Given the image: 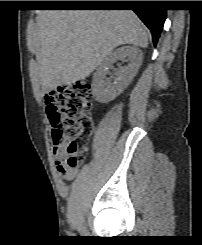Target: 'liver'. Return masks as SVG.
<instances>
[{"mask_svg":"<svg viewBox=\"0 0 202 245\" xmlns=\"http://www.w3.org/2000/svg\"><path fill=\"white\" fill-rule=\"evenodd\" d=\"M37 37L44 93L84 80L119 45L148 46L147 30L131 10H45Z\"/></svg>","mask_w":202,"mask_h":245,"instance_id":"1","label":"liver"}]
</instances>
